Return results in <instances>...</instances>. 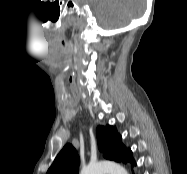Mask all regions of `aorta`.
Segmentation results:
<instances>
[{"mask_svg": "<svg viewBox=\"0 0 187 174\" xmlns=\"http://www.w3.org/2000/svg\"><path fill=\"white\" fill-rule=\"evenodd\" d=\"M80 174H127V171L121 165L103 161L98 163H90L82 168Z\"/></svg>", "mask_w": 187, "mask_h": 174, "instance_id": "762f6f07", "label": "aorta"}]
</instances>
